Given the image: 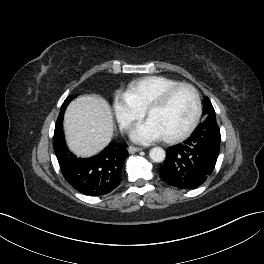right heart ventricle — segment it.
<instances>
[{"mask_svg": "<svg viewBox=\"0 0 264 264\" xmlns=\"http://www.w3.org/2000/svg\"><path fill=\"white\" fill-rule=\"evenodd\" d=\"M177 83L178 80L166 76H146L131 82L125 94L137 107L145 111L165 89Z\"/></svg>", "mask_w": 264, "mask_h": 264, "instance_id": "obj_1", "label": "right heart ventricle"}]
</instances>
